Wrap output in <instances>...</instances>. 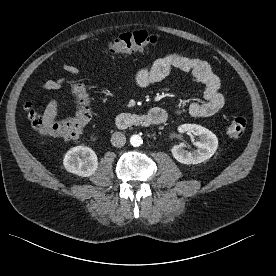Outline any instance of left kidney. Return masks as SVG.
<instances>
[{
    "label": "left kidney",
    "mask_w": 276,
    "mask_h": 276,
    "mask_svg": "<svg viewBox=\"0 0 276 276\" xmlns=\"http://www.w3.org/2000/svg\"><path fill=\"white\" fill-rule=\"evenodd\" d=\"M180 133H193L200 140L195 143L197 149L193 152L184 150L182 145H175L171 152L173 157L182 164H198L210 159L218 148V139L207 128L196 124H183L178 128Z\"/></svg>",
    "instance_id": "5707ae66"
}]
</instances>
